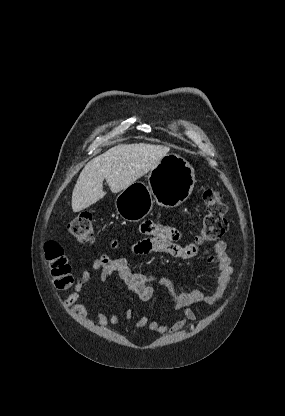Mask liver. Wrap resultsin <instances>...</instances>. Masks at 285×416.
I'll use <instances>...</instances> for the list:
<instances>
[{
    "label": "liver",
    "instance_id": "1",
    "mask_svg": "<svg viewBox=\"0 0 285 416\" xmlns=\"http://www.w3.org/2000/svg\"><path fill=\"white\" fill-rule=\"evenodd\" d=\"M170 148L153 144H118L83 168L72 192L73 212H81L105 196L103 180L117 194L148 174Z\"/></svg>",
    "mask_w": 285,
    "mask_h": 416
}]
</instances>
